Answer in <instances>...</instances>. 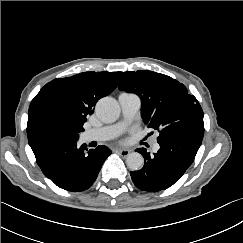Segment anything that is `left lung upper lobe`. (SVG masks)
Returning <instances> with one entry per match:
<instances>
[{"mask_svg": "<svg viewBox=\"0 0 243 243\" xmlns=\"http://www.w3.org/2000/svg\"><path fill=\"white\" fill-rule=\"evenodd\" d=\"M118 88L137 94L148 128L157 130L158 143L187 128H204L197 99L177 80L147 70L123 72Z\"/></svg>", "mask_w": 243, "mask_h": 243, "instance_id": "5c2ea615", "label": "left lung upper lobe"}]
</instances>
